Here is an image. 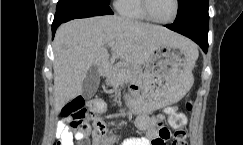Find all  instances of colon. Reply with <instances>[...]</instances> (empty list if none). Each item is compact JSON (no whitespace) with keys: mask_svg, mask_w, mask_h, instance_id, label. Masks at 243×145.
I'll list each match as a JSON object with an SVG mask.
<instances>
[{"mask_svg":"<svg viewBox=\"0 0 243 145\" xmlns=\"http://www.w3.org/2000/svg\"><path fill=\"white\" fill-rule=\"evenodd\" d=\"M190 110L191 105L187 104ZM168 116V125L174 130V140L172 145H188L187 131H186V117L183 113L177 111L173 106H168L165 109ZM61 115L66 119L70 126L77 132H86L90 129V123L93 120V111L87 109L85 101L82 98H76L66 104L61 111ZM168 128L160 125L159 130L162 136H165V131ZM57 145V142L55 143Z\"/></svg>","mask_w":243,"mask_h":145,"instance_id":"colon-1","label":"colon"}]
</instances>
